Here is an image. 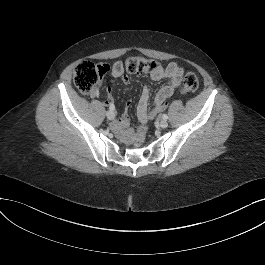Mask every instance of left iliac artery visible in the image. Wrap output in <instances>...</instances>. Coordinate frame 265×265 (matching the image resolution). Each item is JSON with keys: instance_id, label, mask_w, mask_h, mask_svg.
I'll return each mask as SVG.
<instances>
[{"instance_id": "obj_1", "label": "left iliac artery", "mask_w": 265, "mask_h": 265, "mask_svg": "<svg viewBox=\"0 0 265 265\" xmlns=\"http://www.w3.org/2000/svg\"><path fill=\"white\" fill-rule=\"evenodd\" d=\"M162 118H163L164 120H167V119H168V116H167L166 114H163Z\"/></svg>"}]
</instances>
